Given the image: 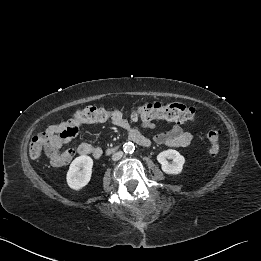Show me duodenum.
Masks as SVG:
<instances>
[{
    "instance_id": "1",
    "label": "duodenum",
    "mask_w": 261,
    "mask_h": 261,
    "mask_svg": "<svg viewBox=\"0 0 261 261\" xmlns=\"http://www.w3.org/2000/svg\"><path fill=\"white\" fill-rule=\"evenodd\" d=\"M128 139L143 147H148L150 145V141L146 137L142 136L140 133L130 134ZM111 151H112V149L107 150L108 153H110Z\"/></svg>"
}]
</instances>
